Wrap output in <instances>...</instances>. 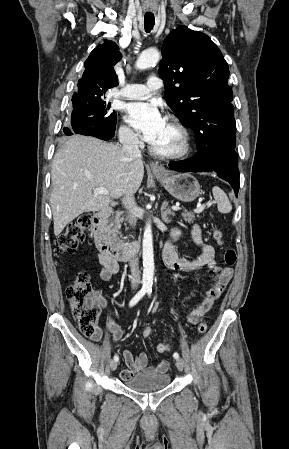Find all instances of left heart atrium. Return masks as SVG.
Returning <instances> with one entry per match:
<instances>
[{"mask_svg":"<svg viewBox=\"0 0 289 449\" xmlns=\"http://www.w3.org/2000/svg\"><path fill=\"white\" fill-rule=\"evenodd\" d=\"M125 112L126 121L140 132L143 140L150 144L157 139L166 124L155 103H129L125 108Z\"/></svg>","mask_w":289,"mask_h":449,"instance_id":"left-heart-atrium-1","label":"left heart atrium"}]
</instances>
